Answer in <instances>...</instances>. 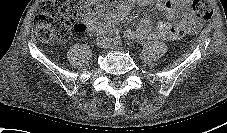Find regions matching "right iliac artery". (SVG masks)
<instances>
[{
  "instance_id": "82829eb1",
  "label": "right iliac artery",
  "mask_w": 227,
  "mask_h": 133,
  "mask_svg": "<svg viewBox=\"0 0 227 133\" xmlns=\"http://www.w3.org/2000/svg\"><path fill=\"white\" fill-rule=\"evenodd\" d=\"M102 34L104 35L105 34V32H102ZM105 39H107L108 41H110L111 42V38H110V36L108 35V36H106V37H104Z\"/></svg>"
}]
</instances>
